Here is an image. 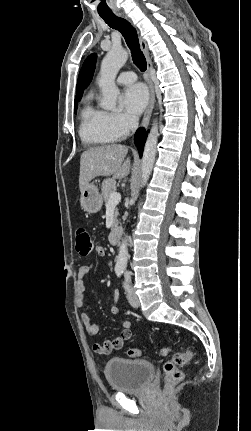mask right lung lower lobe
<instances>
[{"mask_svg":"<svg viewBox=\"0 0 251 431\" xmlns=\"http://www.w3.org/2000/svg\"><path fill=\"white\" fill-rule=\"evenodd\" d=\"M148 132H146L143 128H139L135 134V144L139 151L140 156L143 154L144 144L147 138Z\"/></svg>","mask_w":251,"mask_h":431,"instance_id":"98d812e1","label":"right lung lower lobe"}]
</instances>
